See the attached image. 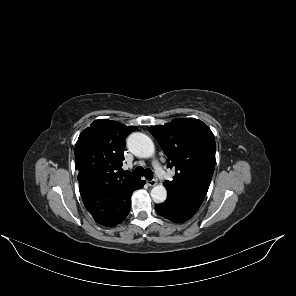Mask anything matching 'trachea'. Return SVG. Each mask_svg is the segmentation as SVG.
Returning a JSON list of instances; mask_svg holds the SVG:
<instances>
[{
  "label": "trachea",
  "mask_w": 296,
  "mask_h": 296,
  "mask_svg": "<svg viewBox=\"0 0 296 296\" xmlns=\"http://www.w3.org/2000/svg\"><path fill=\"white\" fill-rule=\"evenodd\" d=\"M133 174L136 176H145L147 180H152L153 172L151 169H144L143 167L139 166L134 171Z\"/></svg>",
  "instance_id": "obj_1"
}]
</instances>
